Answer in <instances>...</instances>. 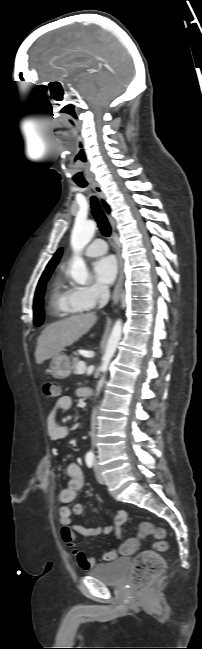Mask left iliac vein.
<instances>
[{
  "label": "left iliac vein",
  "mask_w": 202,
  "mask_h": 649,
  "mask_svg": "<svg viewBox=\"0 0 202 649\" xmlns=\"http://www.w3.org/2000/svg\"><path fill=\"white\" fill-rule=\"evenodd\" d=\"M95 473H96V479L100 484H104L105 480L104 477L101 474L100 467L97 462H95Z\"/></svg>",
  "instance_id": "obj_1"
}]
</instances>
